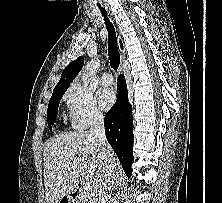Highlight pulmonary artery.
I'll use <instances>...</instances> for the list:
<instances>
[{"label": "pulmonary artery", "mask_w": 222, "mask_h": 203, "mask_svg": "<svg viewBox=\"0 0 222 203\" xmlns=\"http://www.w3.org/2000/svg\"><path fill=\"white\" fill-rule=\"evenodd\" d=\"M100 81L103 85H111L113 83V77L109 72H104L101 75Z\"/></svg>", "instance_id": "obj_1"}]
</instances>
